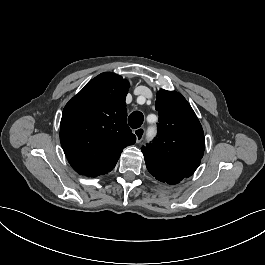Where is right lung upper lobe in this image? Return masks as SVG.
<instances>
[{"label":"right lung upper lobe","mask_w":265,"mask_h":265,"mask_svg":"<svg viewBox=\"0 0 265 265\" xmlns=\"http://www.w3.org/2000/svg\"><path fill=\"white\" fill-rule=\"evenodd\" d=\"M128 88L121 76L101 73L64 107L60 142L79 174L97 177L110 172L123 149L136 142L126 123Z\"/></svg>","instance_id":"1"}]
</instances>
